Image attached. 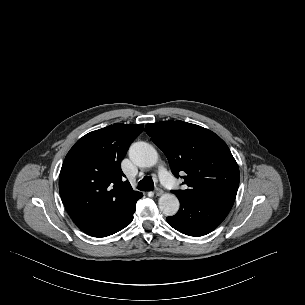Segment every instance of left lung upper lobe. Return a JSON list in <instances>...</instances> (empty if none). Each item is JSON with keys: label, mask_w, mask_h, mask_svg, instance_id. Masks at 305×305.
<instances>
[{"label": "left lung upper lobe", "mask_w": 305, "mask_h": 305, "mask_svg": "<svg viewBox=\"0 0 305 305\" xmlns=\"http://www.w3.org/2000/svg\"><path fill=\"white\" fill-rule=\"evenodd\" d=\"M146 133L164 152L172 173L184 171L185 190L173 191L178 198L234 202L239 186V168L226 143L201 126L165 121L145 126Z\"/></svg>", "instance_id": "left-lung-upper-lobe-1"}]
</instances>
